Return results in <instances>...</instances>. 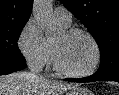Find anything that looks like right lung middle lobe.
Wrapping results in <instances>:
<instances>
[{
    "instance_id": "dd1d6c3e",
    "label": "right lung middle lobe",
    "mask_w": 119,
    "mask_h": 95,
    "mask_svg": "<svg viewBox=\"0 0 119 95\" xmlns=\"http://www.w3.org/2000/svg\"><path fill=\"white\" fill-rule=\"evenodd\" d=\"M26 22L0 26V62H26L17 44Z\"/></svg>"
}]
</instances>
